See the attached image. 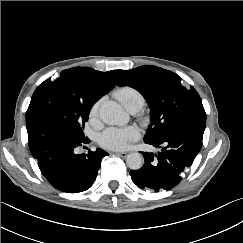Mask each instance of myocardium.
Here are the masks:
<instances>
[{
	"label": "myocardium",
	"instance_id": "myocardium-1",
	"mask_svg": "<svg viewBox=\"0 0 243 243\" xmlns=\"http://www.w3.org/2000/svg\"><path fill=\"white\" fill-rule=\"evenodd\" d=\"M140 120L143 122V123H147L148 121V116L144 113H141L140 114Z\"/></svg>",
	"mask_w": 243,
	"mask_h": 243
}]
</instances>
